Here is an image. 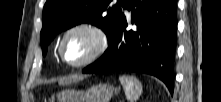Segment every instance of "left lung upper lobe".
<instances>
[{"mask_svg": "<svg viewBox=\"0 0 221 102\" xmlns=\"http://www.w3.org/2000/svg\"><path fill=\"white\" fill-rule=\"evenodd\" d=\"M47 0L43 8V27L40 42L43 55L54 35L77 24L87 22L100 27L108 41L113 37L122 17L126 0Z\"/></svg>", "mask_w": 221, "mask_h": 102, "instance_id": "5c2ea615", "label": "left lung upper lobe"}]
</instances>
